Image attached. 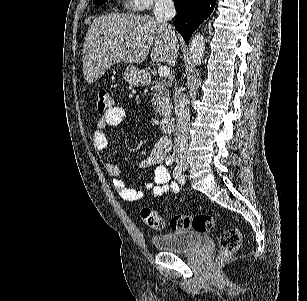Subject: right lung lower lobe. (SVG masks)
<instances>
[{
    "label": "right lung lower lobe",
    "instance_id": "98d812e1",
    "mask_svg": "<svg viewBox=\"0 0 307 301\" xmlns=\"http://www.w3.org/2000/svg\"><path fill=\"white\" fill-rule=\"evenodd\" d=\"M216 0H174L177 16L175 29L182 35L186 43L195 29L213 11Z\"/></svg>",
    "mask_w": 307,
    "mask_h": 301
}]
</instances>
